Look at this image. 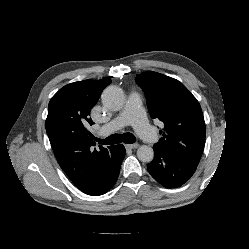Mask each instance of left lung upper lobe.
<instances>
[{"mask_svg": "<svg viewBox=\"0 0 249 249\" xmlns=\"http://www.w3.org/2000/svg\"><path fill=\"white\" fill-rule=\"evenodd\" d=\"M150 116L164 123L163 135L154 146L163 147L197 166L205 144V122L197 99L178 80L146 71L136 75Z\"/></svg>", "mask_w": 249, "mask_h": 249, "instance_id": "left-lung-upper-lobe-1", "label": "left lung upper lobe"}]
</instances>
